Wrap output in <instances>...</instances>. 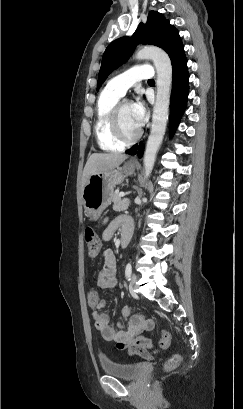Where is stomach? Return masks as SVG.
Here are the masks:
<instances>
[{
	"mask_svg": "<svg viewBox=\"0 0 243 409\" xmlns=\"http://www.w3.org/2000/svg\"><path fill=\"white\" fill-rule=\"evenodd\" d=\"M136 165L126 162L122 167L104 173L92 174L82 190V199L86 215L90 220H98L101 213L112 202L116 185L135 172Z\"/></svg>",
	"mask_w": 243,
	"mask_h": 409,
	"instance_id": "0dacf381",
	"label": "stomach"
}]
</instances>
